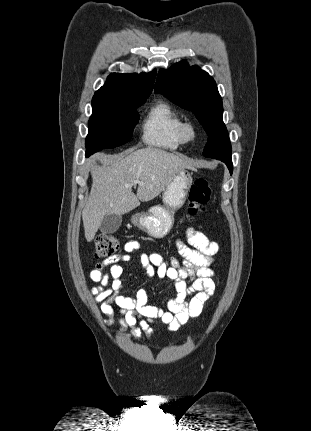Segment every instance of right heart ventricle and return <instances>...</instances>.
I'll list each match as a JSON object with an SVG mask.
<instances>
[{
  "instance_id": "right-heart-ventricle-1",
  "label": "right heart ventricle",
  "mask_w": 311,
  "mask_h": 431,
  "mask_svg": "<svg viewBox=\"0 0 311 431\" xmlns=\"http://www.w3.org/2000/svg\"><path fill=\"white\" fill-rule=\"evenodd\" d=\"M183 121L185 117L172 103L157 102L144 117L141 139L150 148L176 151L186 143L181 135Z\"/></svg>"
}]
</instances>
